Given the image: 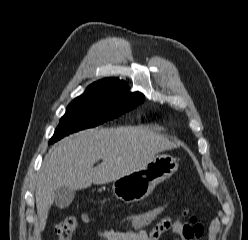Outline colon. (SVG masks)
<instances>
[{"mask_svg":"<svg viewBox=\"0 0 248 240\" xmlns=\"http://www.w3.org/2000/svg\"><path fill=\"white\" fill-rule=\"evenodd\" d=\"M168 209V204H162L146 211L130 215L123 220V226L127 231H138L146 228L161 219ZM87 216L68 215L64 217L55 227L57 240H71L77 228L83 222H87Z\"/></svg>","mask_w":248,"mask_h":240,"instance_id":"obj_1","label":"colon"}]
</instances>
